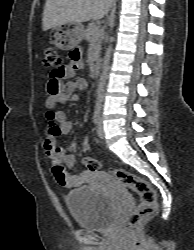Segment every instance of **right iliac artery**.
I'll return each instance as SVG.
<instances>
[{"mask_svg": "<svg viewBox=\"0 0 194 250\" xmlns=\"http://www.w3.org/2000/svg\"><path fill=\"white\" fill-rule=\"evenodd\" d=\"M100 119H101L100 113H95L93 115V122L95 125H97L99 123Z\"/></svg>", "mask_w": 194, "mask_h": 250, "instance_id": "obj_1", "label": "right iliac artery"}]
</instances>
